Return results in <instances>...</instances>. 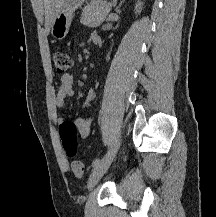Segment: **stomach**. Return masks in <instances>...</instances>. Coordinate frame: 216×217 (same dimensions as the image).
Masks as SVG:
<instances>
[{
  "label": "stomach",
  "instance_id": "0dacf381",
  "mask_svg": "<svg viewBox=\"0 0 216 217\" xmlns=\"http://www.w3.org/2000/svg\"><path fill=\"white\" fill-rule=\"evenodd\" d=\"M95 1V0H92ZM87 0H65L62 7L55 15L51 25V33L55 39L62 40L66 37L72 22L73 13L81 8Z\"/></svg>",
  "mask_w": 216,
  "mask_h": 217
}]
</instances>
